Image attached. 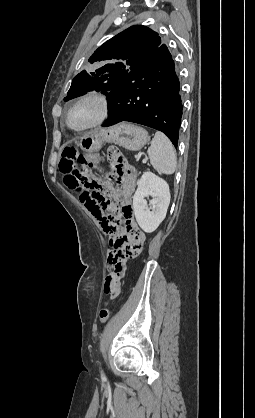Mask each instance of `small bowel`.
<instances>
[{"mask_svg": "<svg viewBox=\"0 0 255 418\" xmlns=\"http://www.w3.org/2000/svg\"><path fill=\"white\" fill-rule=\"evenodd\" d=\"M106 158L116 171L118 184L117 187H107V193L120 205L114 214L125 222L133 218L131 201L136 187L137 174L135 169L125 161L122 147H107ZM98 224L111 239L107 243L110 247V266L104 282V306L109 308L113 300L120 298L119 285L120 280L125 279L127 262L134 261L136 256L142 255L145 235L143 228L111 227L112 221L109 219Z\"/></svg>", "mask_w": 255, "mask_h": 418, "instance_id": "small-bowel-1", "label": "small bowel"}]
</instances>
